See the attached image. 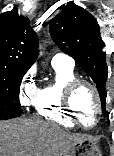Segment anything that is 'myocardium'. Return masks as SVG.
I'll use <instances>...</instances> for the list:
<instances>
[{"label": "myocardium", "instance_id": "myocardium-1", "mask_svg": "<svg viewBox=\"0 0 114 156\" xmlns=\"http://www.w3.org/2000/svg\"><path fill=\"white\" fill-rule=\"evenodd\" d=\"M82 86H86L92 91L96 102L95 119L93 124L90 126H86L85 124H83L73 105L74 95L77 92V90ZM63 104L69 116L80 127L90 129L96 126L97 123L99 122L102 113V101H101L99 90L93 82L86 79H80V78H76L75 80L71 81L65 88Z\"/></svg>", "mask_w": 114, "mask_h": 156}]
</instances>
